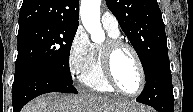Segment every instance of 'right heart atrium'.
Listing matches in <instances>:
<instances>
[{
	"label": "right heart atrium",
	"instance_id": "obj_1",
	"mask_svg": "<svg viewBox=\"0 0 193 112\" xmlns=\"http://www.w3.org/2000/svg\"><path fill=\"white\" fill-rule=\"evenodd\" d=\"M92 43L86 31L78 27L70 41L68 49V69L72 76L81 77L90 62Z\"/></svg>",
	"mask_w": 193,
	"mask_h": 112
}]
</instances>
